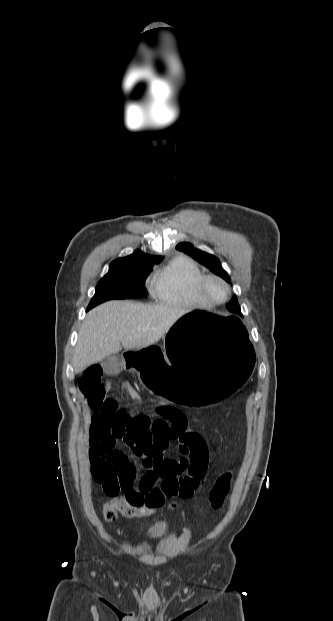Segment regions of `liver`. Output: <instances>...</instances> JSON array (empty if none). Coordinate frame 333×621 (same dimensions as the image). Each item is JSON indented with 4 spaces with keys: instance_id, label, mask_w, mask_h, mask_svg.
I'll return each instance as SVG.
<instances>
[{
    "instance_id": "1",
    "label": "liver",
    "mask_w": 333,
    "mask_h": 621,
    "mask_svg": "<svg viewBox=\"0 0 333 621\" xmlns=\"http://www.w3.org/2000/svg\"><path fill=\"white\" fill-rule=\"evenodd\" d=\"M185 310L130 301H110L91 310L79 331L72 365L75 371L126 350H139L157 341Z\"/></svg>"
}]
</instances>
